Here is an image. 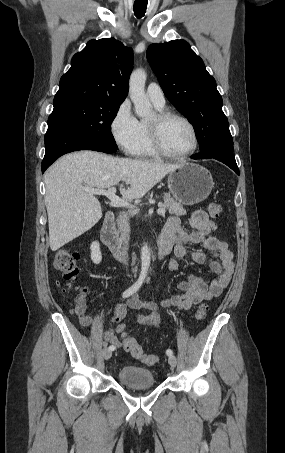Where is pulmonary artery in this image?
<instances>
[{"label": "pulmonary artery", "instance_id": "obj_1", "mask_svg": "<svg viewBox=\"0 0 285 453\" xmlns=\"http://www.w3.org/2000/svg\"><path fill=\"white\" fill-rule=\"evenodd\" d=\"M147 95L154 105L158 107H164L165 105L164 93L157 83L152 82L148 85Z\"/></svg>", "mask_w": 285, "mask_h": 453}]
</instances>
